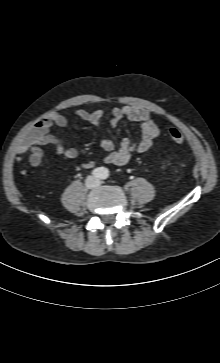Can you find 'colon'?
<instances>
[{"label":"colon","mask_w":220,"mask_h":363,"mask_svg":"<svg viewBox=\"0 0 220 363\" xmlns=\"http://www.w3.org/2000/svg\"><path fill=\"white\" fill-rule=\"evenodd\" d=\"M168 136L170 140L176 144H181L186 140L185 135L181 131L175 128L169 129Z\"/></svg>","instance_id":"colon-1"}]
</instances>
